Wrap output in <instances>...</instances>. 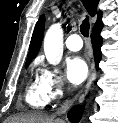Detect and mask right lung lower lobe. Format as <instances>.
I'll use <instances>...</instances> for the list:
<instances>
[{
    "label": "right lung lower lobe",
    "mask_w": 118,
    "mask_h": 123,
    "mask_svg": "<svg viewBox=\"0 0 118 123\" xmlns=\"http://www.w3.org/2000/svg\"><path fill=\"white\" fill-rule=\"evenodd\" d=\"M100 31L92 32L91 34V41L93 45L94 51V59L96 63V67L98 68V64L101 60V45H102V38L100 36ZM83 108L82 107H73L70 112L68 113V118L71 122L78 123L81 115H82Z\"/></svg>",
    "instance_id": "1"
}]
</instances>
